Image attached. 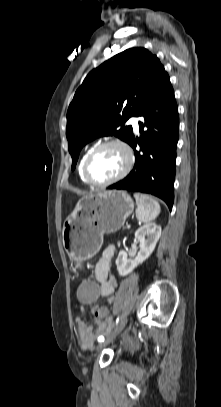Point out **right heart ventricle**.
Listing matches in <instances>:
<instances>
[{
	"mask_svg": "<svg viewBox=\"0 0 221 407\" xmlns=\"http://www.w3.org/2000/svg\"><path fill=\"white\" fill-rule=\"evenodd\" d=\"M93 148H94V147H90V148H88L87 150H85V152L82 154V156L80 157L79 162H78V175H79L81 181H82L84 184H86V185H89V183L85 180V178H84V176H83L82 166H83V162H84V160H85L87 154H88Z\"/></svg>",
	"mask_w": 221,
	"mask_h": 407,
	"instance_id": "obj_1",
	"label": "right heart ventricle"
}]
</instances>
